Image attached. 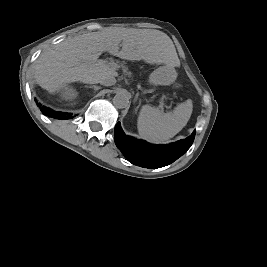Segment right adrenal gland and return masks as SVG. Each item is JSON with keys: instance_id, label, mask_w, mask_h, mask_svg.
<instances>
[{"instance_id": "2a0ac1e0", "label": "right adrenal gland", "mask_w": 267, "mask_h": 267, "mask_svg": "<svg viewBox=\"0 0 267 267\" xmlns=\"http://www.w3.org/2000/svg\"><path fill=\"white\" fill-rule=\"evenodd\" d=\"M85 87L93 88L95 91L101 89L100 86H96V85H90V86H85Z\"/></svg>"}]
</instances>
